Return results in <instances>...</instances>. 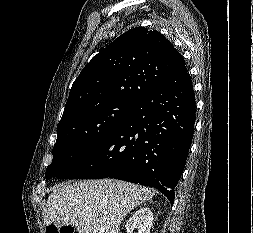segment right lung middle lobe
I'll return each mask as SVG.
<instances>
[{"label": "right lung middle lobe", "instance_id": "right-lung-middle-lobe-1", "mask_svg": "<svg viewBox=\"0 0 253 233\" xmlns=\"http://www.w3.org/2000/svg\"><path fill=\"white\" fill-rule=\"evenodd\" d=\"M134 100L110 99L82 106L63 116L57 126L48 180L69 169L98 147L125 119Z\"/></svg>", "mask_w": 253, "mask_h": 233}]
</instances>
